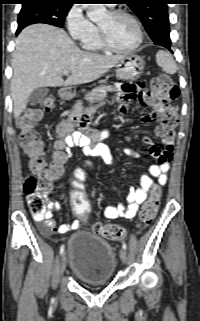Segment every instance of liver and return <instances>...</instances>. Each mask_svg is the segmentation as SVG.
Here are the masks:
<instances>
[{
    "label": "liver",
    "mask_w": 200,
    "mask_h": 321,
    "mask_svg": "<svg viewBox=\"0 0 200 321\" xmlns=\"http://www.w3.org/2000/svg\"><path fill=\"white\" fill-rule=\"evenodd\" d=\"M123 55L105 56L82 51L60 28L34 24L21 31L12 55L11 97L14 117L27 106L39 87H59L93 82L107 73ZM69 70L66 79L62 73Z\"/></svg>",
    "instance_id": "obj_1"
}]
</instances>
